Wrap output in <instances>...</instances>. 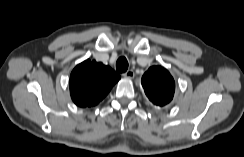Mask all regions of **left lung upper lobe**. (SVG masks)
<instances>
[{"instance_id":"obj_1","label":"left lung upper lobe","mask_w":244,"mask_h":157,"mask_svg":"<svg viewBox=\"0 0 244 157\" xmlns=\"http://www.w3.org/2000/svg\"><path fill=\"white\" fill-rule=\"evenodd\" d=\"M142 86L149 100L158 106L168 104L174 95L175 82L161 66H152L142 76Z\"/></svg>"}]
</instances>
